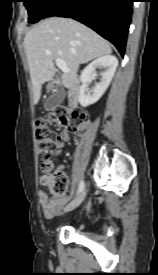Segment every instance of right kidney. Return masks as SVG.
Segmentation results:
<instances>
[{
  "mask_svg": "<svg viewBox=\"0 0 158 275\" xmlns=\"http://www.w3.org/2000/svg\"><path fill=\"white\" fill-rule=\"evenodd\" d=\"M118 66V60L112 55H104L93 62H91L81 74L82 85L80 87L79 102L82 107H87L96 103L107 90L116 68ZM104 67L105 71L102 72V78L99 83H96L94 88L89 91L88 84L90 79L95 75L96 68Z\"/></svg>",
  "mask_w": 158,
  "mask_h": 275,
  "instance_id": "right-kidney-1",
  "label": "right kidney"
}]
</instances>
